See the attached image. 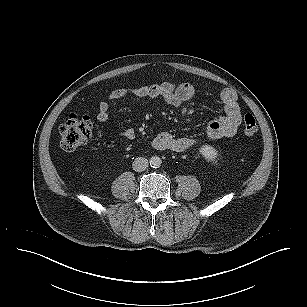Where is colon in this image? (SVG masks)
Wrapping results in <instances>:
<instances>
[{"mask_svg": "<svg viewBox=\"0 0 307 307\" xmlns=\"http://www.w3.org/2000/svg\"><path fill=\"white\" fill-rule=\"evenodd\" d=\"M94 124L89 117L71 115L60 127V147L70 152L85 144L92 136ZM243 130L252 136L257 130V122L253 115L246 114L243 119Z\"/></svg>", "mask_w": 307, "mask_h": 307, "instance_id": "1", "label": "colon"}]
</instances>
